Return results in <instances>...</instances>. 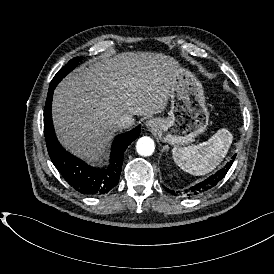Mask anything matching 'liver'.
Returning a JSON list of instances; mask_svg holds the SVG:
<instances>
[{"label":"liver","instance_id":"liver-1","mask_svg":"<svg viewBox=\"0 0 274 274\" xmlns=\"http://www.w3.org/2000/svg\"><path fill=\"white\" fill-rule=\"evenodd\" d=\"M179 65L155 53L108 54L70 74L57 88L53 115L57 133L73 153L99 162L121 115L163 113Z\"/></svg>","mask_w":274,"mask_h":274}]
</instances>
